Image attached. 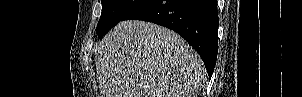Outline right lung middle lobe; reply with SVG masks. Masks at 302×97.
<instances>
[{"label":"right lung middle lobe","mask_w":302,"mask_h":97,"mask_svg":"<svg viewBox=\"0 0 302 97\" xmlns=\"http://www.w3.org/2000/svg\"><path fill=\"white\" fill-rule=\"evenodd\" d=\"M142 0H101L102 13L96 32L101 39Z\"/></svg>","instance_id":"dd1d6c3e"}]
</instances>
